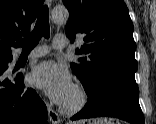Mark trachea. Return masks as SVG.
<instances>
[{"label": "trachea", "mask_w": 156, "mask_h": 124, "mask_svg": "<svg viewBox=\"0 0 156 124\" xmlns=\"http://www.w3.org/2000/svg\"><path fill=\"white\" fill-rule=\"evenodd\" d=\"M49 36V9L45 5L40 11L33 31L25 39H19L16 45L23 47V50L25 51L32 50L38 44L41 37L49 38Z\"/></svg>", "instance_id": "obj_1"}]
</instances>
